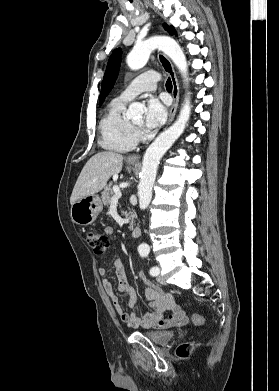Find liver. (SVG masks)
Masks as SVG:
<instances>
[{
  "label": "liver",
  "instance_id": "obj_1",
  "mask_svg": "<svg viewBox=\"0 0 279 391\" xmlns=\"http://www.w3.org/2000/svg\"><path fill=\"white\" fill-rule=\"evenodd\" d=\"M123 159L122 155L109 151L92 156L83 167L73 188L71 205L83 197L100 192L111 176L121 172Z\"/></svg>",
  "mask_w": 279,
  "mask_h": 391
}]
</instances>
